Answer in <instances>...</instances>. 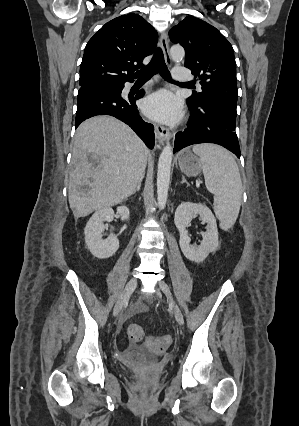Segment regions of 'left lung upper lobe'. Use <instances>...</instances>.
<instances>
[{
	"label": "left lung upper lobe",
	"mask_w": 299,
	"mask_h": 426,
	"mask_svg": "<svg viewBox=\"0 0 299 426\" xmlns=\"http://www.w3.org/2000/svg\"><path fill=\"white\" fill-rule=\"evenodd\" d=\"M169 36L184 47L185 67L201 80L202 92L187 101L196 106L217 103L236 113V63L228 40L215 27L193 16L174 26Z\"/></svg>",
	"instance_id": "5c2ea615"
}]
</instances>
